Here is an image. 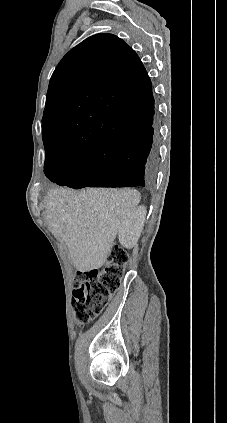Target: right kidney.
I'll use <instances>...</instances> for the list:
<instances>
[{
  "instance_id": "right-kidney-1",
  "label": "right kidney",
  "mask_w": 227,
  "mask_h": 423,
  "mask_svg": "<svg viewBox=\"0 0 227 423\" xmlns=\"http://www.w3.org/2000/svg\"><path fill=\"white\" fill-rule=\"evenodd\" d=\"M146 211L145 206H137V208L127 213V217L122 221L118 233V239L123 247L132 249L136 245L143 229Z\"/></svg>"
}]
</instances>
